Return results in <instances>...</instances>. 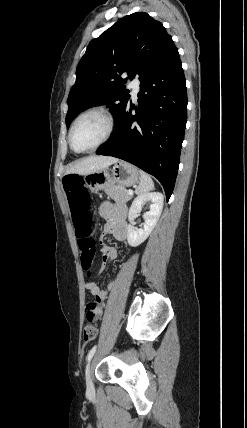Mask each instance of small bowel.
I'll return each instance as SVG.
<instances>
[{
  "label": "small bowel",
  "mask_w": 247,
  "mask_h": 428,
  "mask_svg": "<svg viewBox=\"0 0 247 428\" xmlns=\"http://www.w3.org/2000/svg\"><path fill=\"white\" fill-rule=\"evenodd\" d=\"M100 214L107 221L108 232L111 233L116 240L126 243L128 239V225L126 222L125 208L111 202H104L100 206ZM100 252L103 263L113 261L117 258V251L112 246L104 245ZM113 285V283L109 284L108 290L112 289ZM85 289L91 293L93 298L105 300L107 297V290L102 289L97 283H86Z\"/></svg>",
  "instance_id": "small-bowel-1"
}]
</instances>
